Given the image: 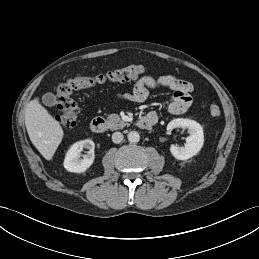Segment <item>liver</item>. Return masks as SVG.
<instances>
[{"label": "liver", "instance_id": "obj_1", "mask_svg": "<svg viewBox=\"0 0 259 259\" xmlns=\"http://www.w3.org/2000/svg\"><path fill=\"white\" fill-rule=\"evenodd\" d=\"M25 125L33 145L46 160H51L64 132L38 98L31 100L25 109Z\"/></svg>", "mask_w": 259, "mask_h": 259}]
</instances>
